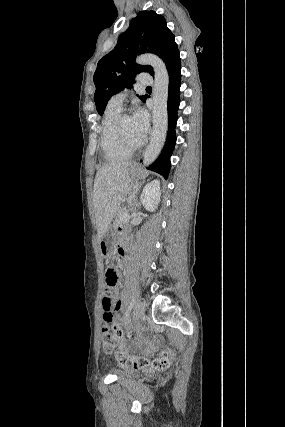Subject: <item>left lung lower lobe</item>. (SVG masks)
Here are the masks:
<instances>
[{"instance_id":"0a47b994","label":"left lung lower lobe","mask_w":285,"mask_h":427,"mask_svg":"<svg viewBox=\"0 0 285 427\" xmlns=\"http://www.w3.org/2000/svg\"><path fill=\"white\" fill-rule=\"evenodd\" d=\"M169 73L168 90V133L165 146L158 159L149 167L163 177L167 178L170 171V156L176 143L175 127L177 123V110L180 104L181 60L177 54L167 67Z\"/></svg>"}]
</instances>
